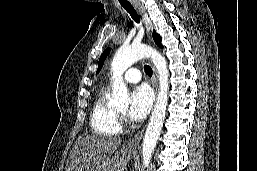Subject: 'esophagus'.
Instances as JSON below:
<instances>
[{"mask_svg": "<svg viewBox=\"0 0 257 171\" xmlns=\"http://www.w3.org/2000/svg\"><path fill=\"white\" fill-rule=\"evenodd\" d=\"M133 5H134L135 9L137 10V12L141 15L142 20L146 27V34H147L148 40L151 41V33H152L151 21L146 13L144 7L140 3L134 2ZM152 69H153V87L155 89V93L157 94L158 75H157V71L154 66L152 67ZM143 132H144V129L139 131L132 139H130L129 142L125 145V149L130 150V151H135L142 139Z\"/></svg>", "mask_w": 257, "mask_h": 171, "instance_id": "esophagus-1", "label": "esophagus"}]
</instances>
